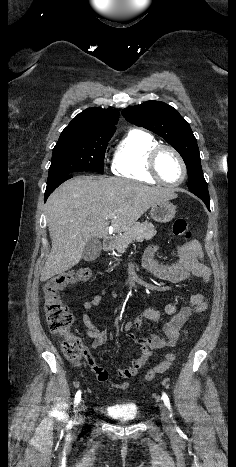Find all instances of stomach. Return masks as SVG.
Listing matches in <instances>:
<instances>
[{
    "label": "stomach",
    "instance_id": "obj_1",
    "mask_svg": "<svg viewBox=\"0 0 236 467\" xmlns=\"http://www.w3.org/2000/svg\"><path fill=\"white\" fill-rule=\"evenodd\" d=\"M176 213V207L167 201H161L151 207L150 214L153 220L160 223L170 222Z\"/></svg>",
    "mask_w": 236,
    "mask_h": 467
}]
</instances>
